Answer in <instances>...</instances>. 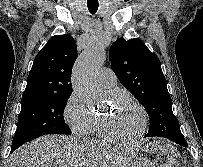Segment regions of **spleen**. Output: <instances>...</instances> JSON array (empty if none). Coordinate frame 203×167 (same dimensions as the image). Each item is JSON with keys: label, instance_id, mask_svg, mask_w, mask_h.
Here are the masks:
<instances>
[{"label": "spleen", "instance_id": "1", "mask_svg": "<svg viewBox=\"0 0 203 167\" xmlns=\"http://www.w3.org/2000/svg\"><path fill=\"white\" fill-rule=\"evenodd\" d=\"M158 149L160 150V151H162V152H171V153H174V150L172 149V148H170V146L168 145V144H166V145H160V144H158Z\"/></svg>", "mask_w": 203, "mask_h": 167}]
</instances>
